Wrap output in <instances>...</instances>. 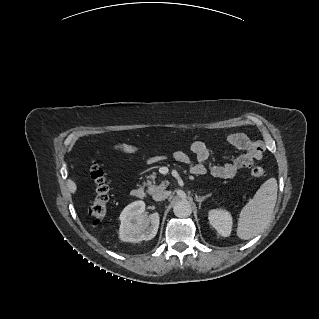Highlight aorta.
<instances>
[{"instance_id":"1","label":"aorta","mask_w":319,"mask_h":319,"mask_svg":"<svg viewBox=\"0 0 319 319\" xmlns=\"http://www.w3.org/2000/svg\"><path fill=\"white\" fill-rule=\"evenodd\" d=\"M173 212L178 218L189 217L192 213V206L189 201L182 199L177 201L173 206Z\"/></svg>"}]
</instances>
